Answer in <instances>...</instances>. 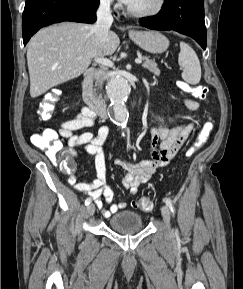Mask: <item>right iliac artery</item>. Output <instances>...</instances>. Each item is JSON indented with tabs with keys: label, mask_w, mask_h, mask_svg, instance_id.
<instances>
[{
	"label": "right iliac artery",
	"mask_w": 243,
	"mask_h": 289,
	"mask_svg": "<svg viewBox=\"0 0 243 289\" xmlns=\"http://www.w3.org/2000/svg\"><path fill=\"white\" fill-rule=\"evenodd\" d=\"M91 203V199L90 198H87L86 200H85V205H89Z\"/></svg>",
	"instance_id": "1"
}]
</instances>
